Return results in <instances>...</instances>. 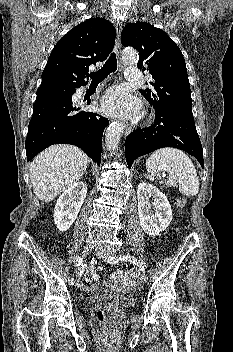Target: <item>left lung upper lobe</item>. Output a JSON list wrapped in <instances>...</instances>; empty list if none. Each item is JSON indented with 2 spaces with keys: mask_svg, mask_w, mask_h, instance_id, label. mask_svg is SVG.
Instances as JSON below:
<instances>
[{
  "mask_svg": "<svg viewBox=\"0 0 233 352\" xmlns=\"http://www.w3.org/2000/svg\"><path fill=\"white\" fill-rule=\"evenodd\" d=\"M121 43L139 51L137 67L152 75V88L140 92L154 109L193 118L185 60L175 42L163 30L137 22L123 28Z\"/></svg>",
  "mask_w": 233,
  "mask_h": 352,
  "instance_id": "5c2ea615",
  "label": "left lung upper lobe"
}]
</instances>
